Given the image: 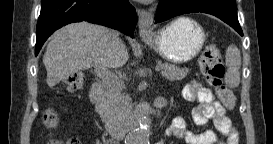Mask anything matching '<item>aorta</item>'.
I'll use <instances>...</instances> for the list:
<instances>
[{
	"label": "aorta",
	"instance_id": "1",
	"mask_svg": "<svg viewBox=\"0 0 273 144\" xmlns=\"http://www.w3.org/2000/svg\"><path fill=\"white\" fill-rule=\"evenodd\" d=\"M151 120L143 119L138 128H136L127 138L128 144H149Z\"/></svg>",
	"mask_w": 273,
	"mask_h": 144
}]
</instances>
